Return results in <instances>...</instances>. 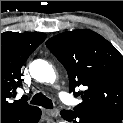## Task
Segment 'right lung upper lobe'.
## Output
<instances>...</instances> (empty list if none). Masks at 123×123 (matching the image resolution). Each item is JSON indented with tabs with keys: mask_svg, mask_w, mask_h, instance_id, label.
<instances>
[{
	"mask_svg": "<svg viewBox=\"0 0 123 123\" xmlns=\"http://www.w3.org/2000/svg\"><path fill=\"white\" fill-rule=\"evenodd\" d=\"M46 36L43 32L1 33V123H9L22 112L38 109L22 99L10 100L23 80L22 65Z\"/></svg>",
	"mask_w": 123,
	"mask_h": 123,
	"instance_id": "obj_1",
	"label": "right lung upper lobe"
}]
</instances>
